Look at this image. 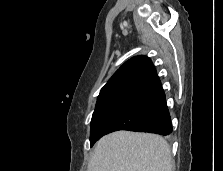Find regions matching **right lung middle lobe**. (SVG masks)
Returning <instances> with one entry per match:
<instances>
[{
  "label": "right lung middle lobe",
  "instance_id": "right-lung-middle-lobe-1",
  "mask_svg": "<svg viewBox=\"0 0 223 171\" xmlns=\"http://www.w3.org/2000/svg\"><path fill=\"white\" fill-rule=\"evenodd\" d=\"M135 99L136 97L134 96H113L97 100L95 111L91 120V146L101 138L107 125L112 122Z\"/></svg>",
  "mask_w": 223,
  "mask_h": 171
}]
</instances>
